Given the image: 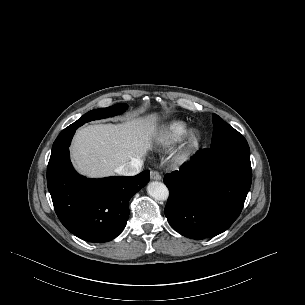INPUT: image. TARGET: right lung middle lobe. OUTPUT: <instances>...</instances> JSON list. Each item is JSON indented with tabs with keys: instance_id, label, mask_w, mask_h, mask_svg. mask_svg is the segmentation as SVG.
<instances>
[{
	"instance_id": "right-lung-middle-lobe-1",
	"label": "right lung middle lobe",
	"mask_w": 305,
	"mask_h": 305,
	"mask_svg": "<svg viewBox=\"0 0 305 305\" xmlns=\"http://www.w3.org/2000/svg\"><path fill=\"white\" fill-rule=\"evenodd\" d=\"M127 107H128L127 104H115L111 107L91 110V111L87 112L86 114H84L76 122H74L73 124H71L68 127H71L76 124H79L81 126V125L85 124L86 122H89L92 120L113 117L115 115L123 113L127 109Z\"/></svg>"
}]
</instances>
